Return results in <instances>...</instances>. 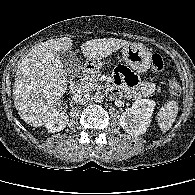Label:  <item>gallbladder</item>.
<instances>
[{"label":"gallbladder","instance_id":"bac80fb5","mask_svg":"<svg viewBox=\"0 0 195 195\" xmlns=\"http://www.w3.org/2000/svg\"><path fill=\"white\" fill-rule=\"evenodd\" d=\"M57 55L67 71L74 72L79 66V60L71 49H68L67 51L60 50L57 52Z\"/></svg>","mask_w":195,"mask_h":195}]
</instances>
